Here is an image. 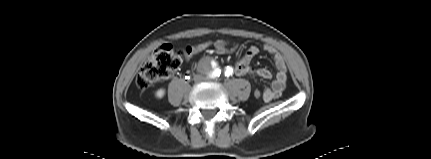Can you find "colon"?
Instances as JSON below:
<instances>
[{"label": "colon", "instance_id": "obj_1", "mask_svg": "<svg viewBox=\"0 0 431 159\" xmlns=\"http://www.w3.org/2000/svg\"><path fill=\"white\" fill-rule=\"evenodd\" d=\"M212 54L218 57H231L234 54L232 49H212ZM186 50L175 48L169 44L158 47L141 67L137 77L136 84L141 89H146L150 85L163 80L177 70L184 57ZM263 96L262 90L256 88L252 90V97L260 99Z\"/></svg>", "mask_w": 431, "mask_h": 159}]
</instances>
